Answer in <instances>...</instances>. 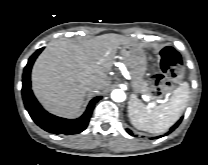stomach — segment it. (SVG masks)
<instances>
[{
	"mask_svg": "<svg viewBox=\"0 0 208 165\" xmlns=\"http://www.w3.org/2000/svg\"><path fill=\"white\" fill-rule=\"evenodd\" d=\"M121 53L124 62L131 70V86L134 93H145L147 84L144 81V74L147 70V61L142 49L134 45H122Z\"/></svg>",
	"mask_w": 208,
	"mask_h": 165,
	"instance_id": "obj_1",
	"label": "stomach"
}]
</instances>
